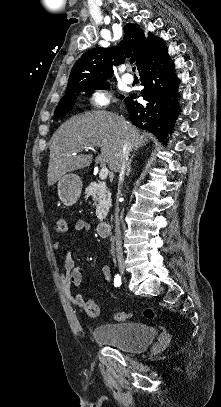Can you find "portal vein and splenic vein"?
Instances as JSON below:
<instances>
[{"instance_id": "1", "label": "portal vein and splenic vein", "mask_w": 221, "mask_h": 407, "mask_svg": "<svg viewBox=\"0 0 221 407\" xmlns=\"http://www.w3.org/2000/svg\"><path fill=\"white\" fill-rule=\"evenodd\" d=\"M88 150H89V148H86V151H88ZM73 155H75V154H73ZM108 174H109L108 168L103 166L100 170L99 178L104 181L107 178Z\"/></svg>"}]
</instances>
